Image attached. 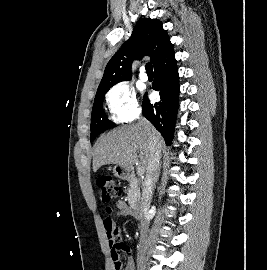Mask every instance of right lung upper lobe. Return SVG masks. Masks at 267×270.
Here are the masks:
<instances>
[{
  "instance_id": "1",
  "label": "right lung upper lobe",
  "mask_w": 267,
  "mask_h": 270,
  "mask_svg": "<svg viewBox=\"0 0 267 270\" xmlns=\"http://www.w3.org/2000/svg\"><path fill=\"white\" fill-rule=\"evenodd\" d=\"M172 46L162 22L156 19H141L131 37L109 60L97 92L110 89L118 82L132 78L131 65L134 59L150 56L153 66Z\"/></svg>"
}]
</instances>
